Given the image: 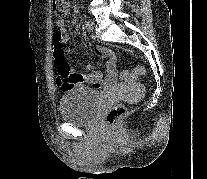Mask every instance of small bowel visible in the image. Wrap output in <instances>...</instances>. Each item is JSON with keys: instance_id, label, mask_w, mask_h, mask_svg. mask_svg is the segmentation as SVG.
Masks as SVG:
<instances>
[{"instance_id": "c3829d8e", "label": "small bowel", "mask_w": 207, "mask_h": 179, "mask_svg": "<svg viewBox=\"0 0 207 179\" xmlns=\"http://www.w3.org/2000/svg\"><path fill=\"white\" fill-rule=\"evenodd\" d=\"M71 12V7L68 5V9L66 15H69ZM58 30L63 34L65 32V21L63 18H59L57 20ZM64 40H67L65 37ZM95 51L106 58V69L105 73L100 71H92V72H84L77 73L73 72V74L79 76V82L74 86L80 87H90L96 90L107 89L117 83L118 71H117V54L102 45H96ZM91 65H88L90 67Z\"/></svg>"}]
</instances>
